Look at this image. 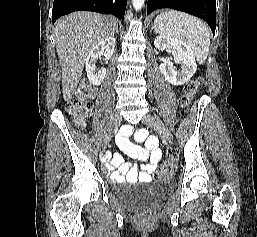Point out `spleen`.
Segmentation results:
<instances>
[{
  "mask_svg": "<svg viewBox=\"0 0 257 237\" xmlns=\"http://www.w3.org/2000/svg\"><path fill=\"white\" fill-rule=\"evenodd\" d=\"M155 32L185 42L196 60L205 63L210 46V32L201 20L178 11H165L154 20Z\"/></svg>",
  "mask_w": 257,
  "mask_h": 237,
  "instance_id": "1",
  "label": "spleen"
}]
</instances>
